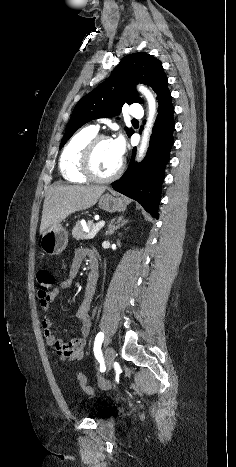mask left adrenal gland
Masks as SVG:
<instances>
[{
	"instance_id": "left-adrenal-gland-1",
	"label": "left adrenal gland",
	"mask_w": 236,
	"mask_h": 467,
	"mask_svg": "<svg viewBox=\"0 0 236 467\" xmlns=\"http://www.w3.org/2000/svg\"><path fill=\"white\" fill-rule=\"evenodd\" d=\"M114 222H115V219H113L109 226H108V231L106 232V235H112L114 233L115 230L119 229L120 227H122L123 225H125L128 220H124L123 219V216H120L118 217L117 219V225L115 226L114 225Z\"/></svg>"
}]
</instances>
